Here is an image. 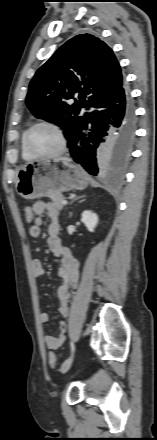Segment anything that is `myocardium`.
<instances>
[{
	"mask_svg": "<svg viewBox=\"0 0 157 440\" xmlns=\"http://www.w3.org/2000/svg\"><path fill=\"white\" fill-rule=\"evenodd\" d=\"M39 126H47L52 128L58 135L59 139H60V146L59 148L52 152V153H48V154H41V153H37L36 151H34L30 145V135L31 132L39 127ZM25 146L27 148V150L34 156V157H50V156H57L60 155L62 153H64L67 150L68 147V139L66 136V133L63 129V127L61 125H59L56 122L53 121H49V120H41L38 121L36 123H34L33 125H31L25 134Z\"/></svg>",
	"mask_w": 157,
	"mask_h": 440,
	"instance_id": "1",
	"label": "myocardium"
}]
</instances>
